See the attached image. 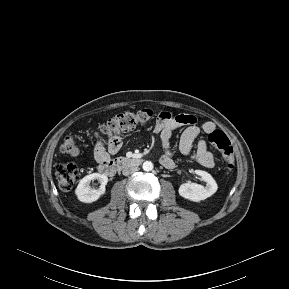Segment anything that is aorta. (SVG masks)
<instances>
[{"mask_svg":"<svg viewBox=\"0 0 289 289\" xmlns=\"http://www.w3.org/2000/svg\"><path fill=\"white\" fill-rule=\"evenodd\" d=\"M144 171H151L153 169V163L151 161H145L142 165Z\"/></svg>","mask_w":289,"mask_h":289,"instance_id":"1","label":"aorta"}]
</instances>
